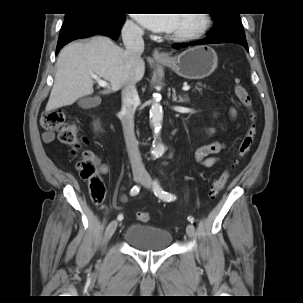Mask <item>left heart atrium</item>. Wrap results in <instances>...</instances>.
I'll return each mask as SVG.
<instances>
[{"label":"left heart atrium","instance_id":"obj_1","mask_svg":"<svg viewBox=\"0 0 303 303\" xmlns=\"http://www.w3.org/2000/svg\"><path fill=\"white\" fill-rule=\"evenodd\" d=\"M177 17V14H136L137 20L154 32H172Z\"/></svg>","mask_w":303,"mask_h":303}]
</instances>
